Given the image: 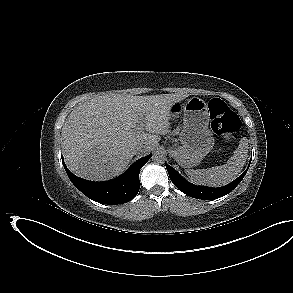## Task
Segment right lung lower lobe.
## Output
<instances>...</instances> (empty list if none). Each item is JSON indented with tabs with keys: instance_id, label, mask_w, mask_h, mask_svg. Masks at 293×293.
Listing matches in <instances>:
<instances>
[{
	"instance_id": "obj_1",
	"label": "right lung lower lobe",
	"mask_w": 293,
	"mask_h": 293,
	"mask_svg": "<svg viewBox=\"0 0 293 293\" xmlns=\"http://www.w3.org/2000/svg\"><path fill=\"white\" fill-rule=\"evenodd\" d=\"M151 154L137 160L123 175L104 182H93L75 176L62 163L72 183L88 198L102 204H121L132 200L140 188L139 172Z\"/></svg>"
}]
</instances>
